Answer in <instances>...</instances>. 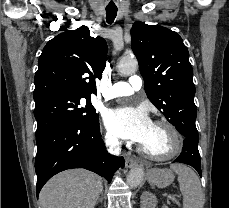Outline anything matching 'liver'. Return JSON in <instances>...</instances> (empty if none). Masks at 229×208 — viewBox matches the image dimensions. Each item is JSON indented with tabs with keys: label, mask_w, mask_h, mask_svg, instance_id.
<instances>
[{
	"label": "liver",
	"mask_w": 229,
	"mask_h": 208,
	"mask_svg": "<svg viewBox=\"0 0 229 208\" xmlns=\"http://www.w3.org/2000/svg\"><path fill=\"white\" fill-rule=\"evenodd\" d=\"M102 178L87 170H66L51 178L39 194L41 208H94Z\"/></svg>",
	"instance_id": "1"
}]
</instances>
